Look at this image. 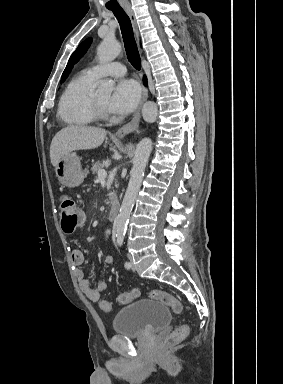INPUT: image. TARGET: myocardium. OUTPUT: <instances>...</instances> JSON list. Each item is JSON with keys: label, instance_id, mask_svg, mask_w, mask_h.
I'll use <instances>...</instances> for the list:
<instances>
[{"label": "myocardium", "instance_id": "obj_1", "mask_svg": "<svg viewBox=\"0 0 283 384\" xmlns=\"http://www.w3.org/2000/svg\"><path fill=\"white\" fill-rule=\"evenodd\" d=\"M89 109L97 121H108L111 119V115L107 114L92 96L89 99Z\"/></svg>", "mask_w": 283, "mask_h": 384}]
</instances>
